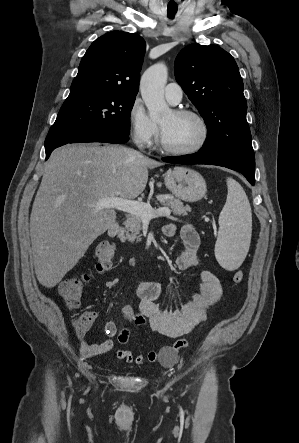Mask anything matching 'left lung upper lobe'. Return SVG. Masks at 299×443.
<instances>
[{
	"label": "left lung upper lobe",
	"instance_id": "left-lung-upper-lobe-1",
	"mask_svg": "<svg viewBox=\"0 0 299 443\" xmlns=\"http://www.w3.org/2000/svg\"><path fill=\"white\" fill-rule=\"evenodd\" d=\"M174 69L207 125L199 152L220 159L254 157L243 81L234 58L219 46L194 43L180 51Z\"/></svg>",
	"mask_w": 299,
	"mask_h": 443
}]
</instances>
